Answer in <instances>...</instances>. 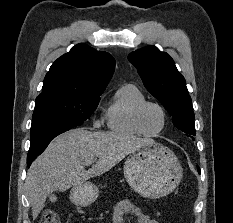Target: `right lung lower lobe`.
<instances>
[{"label":"right lung lower lobe","mask_w":233,"mask_h":223,"mask_svg":"<svg viewBox=\"0 0 233 223\" xmlns=\"http://www.w3.org/2000/svg\"><path fill=\"white\" fill-rule=\"evenodd\" d=\"M40 155L38 153L36 154H32V155H28L27 156V164H28V167H30L31 163L35 160V158Z\"/></svg>","instance_id":"1"}]
</instances>
